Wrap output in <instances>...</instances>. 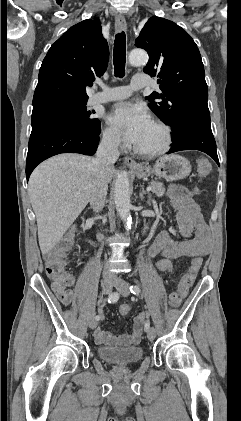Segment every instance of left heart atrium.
Wrapping results in <instances>:
<instances>
[{"mask_svg": "<svg viewBox=\"0 0 241 421\" xmlns=\"http://www.w3.org/2000/svg\"><path fill=\"white\" fill-rule=\"evenodd\" d=\"M107 120L127 142L133 144L140 141L152 122L142 106L129 102L116 104L108 113Z\"/></svg>", "mask_w": 241, "mask_h": 421, "instance_id": "obj_1", "label": "left heart atrium"}]
</instances>
